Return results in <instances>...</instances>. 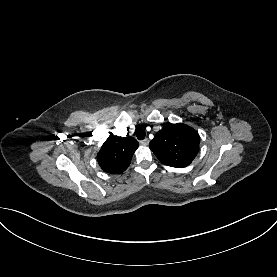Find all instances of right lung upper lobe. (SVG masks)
<instances>
[{
  "label": "right lung upper lobe",
  "instance_id": "obj_1",
  "mask_svg": "<svg viewBox=\"0 0 277 277\" xmlns=\"http://www.w3.org/2000/svg\"><path fill=\"white\" fill-rule=\"evenodd\" d=\"M138 146L133 137H118L111 133L97 154L98 163L107 173L121 174L130 165Z\"/></svg>",
  "mask_w": 277,
  "mask_h": 277
}]
</instances>
